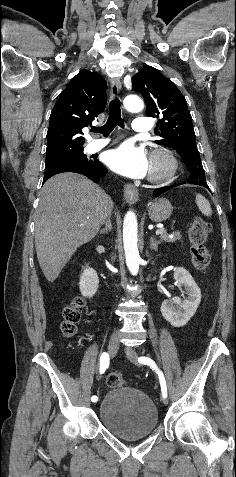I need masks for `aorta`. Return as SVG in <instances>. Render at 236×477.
<instances>
[{"instance_id": "obj_1", "label": "aorta", "mask_w": 236, "mask_h": 477, "mask_svg": "<svg viewBox=\"0 0 236 477\" xmlns=\"http://www.w3.org/2000/svg\"><path fill=\"white\" fill-rule=\"evenodd\" d=\"M123 104L125 109L132 113L140 112L144 108L142 99L137 95L126 96ZM123 243L128 269L132 275H137L141 259L138 250V223L133 211H128L124 217Z\"/></svg>"}]
</instances>
